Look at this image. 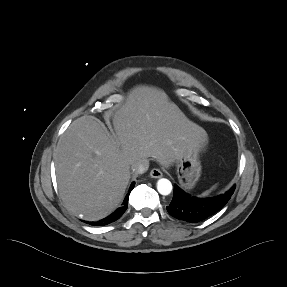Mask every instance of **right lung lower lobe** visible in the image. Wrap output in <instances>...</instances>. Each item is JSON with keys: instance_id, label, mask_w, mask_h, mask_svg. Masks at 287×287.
Masks as SVG:
<instances>
[{"instance_id": "right-lung-lower-lobe-1", "label": "right lung lower lobe", "mask_w": 287, "mask_h": 287, "mask_svg": "<svg viewBox=\"0 0 287 287\" xmlns=\"http://www.w3.org/2000/svg\"><path fill=\"white\" fill-rule=\"evenodd\" d=\"M135 183L133 182L129 188L128 194L126 195L121 207H119L118 209H116L112 214H110L108 217L99 220L97 222H86L90 225H94V226H105L107 224H110L116 220H118L126 211L127 207H128V198H129V194L131 192V190L134 188Z\"/></svg>"}]
</instances>
